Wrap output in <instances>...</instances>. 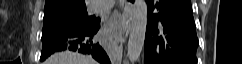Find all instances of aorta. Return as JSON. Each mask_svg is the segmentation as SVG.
I'll return each instance as SVG.
<instances>
[{"mask_svg":"<svg viewBox=\"0 0 242 64\" xmlns=\"http://www.w3.org/2000/svg\"><path fill=\"white\" fill-rule=\"evenodd\" d=\"M146 26L147 3L144 0H137L127 50V55L131 62L137 61L140 57L145 41Z\"/></svg>","mask_w":242,"mask_h":64,"instance_id":"aorta-1","label":"aorta"}]
</instances>
